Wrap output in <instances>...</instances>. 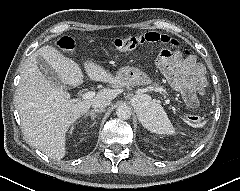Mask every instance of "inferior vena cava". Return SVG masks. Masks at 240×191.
I'll list each match as a JSON object with an SVG mask.
<instances>
[{
  "label": "inferior vena cava",
  "mask_w": 240,
  "mask_h": 191,
  "mask_svg": "<svg viewBox=\"0 0 240 191\" xmlns=\"http://www.w3.org/2000/svg\"><path fill=\"white\" fill-rule=\"evenodd\" d=\"M110 100L101 99V100H95L92 103L93 110H104L105 107L110 105Z\"/></svg>",
  "instance_id": "obj_1"
}]
</instances>
